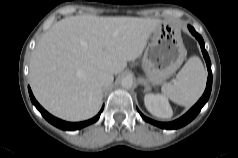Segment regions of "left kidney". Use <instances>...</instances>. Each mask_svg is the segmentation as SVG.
<instances>
[{
  "label": "left kidney",
  "instance_id": "1",
  "mask_svg": "<svg viewBox=\"0 0 238 158\" xmlns=\"http://www.w3.org/2000/svg\"><path fill=\"white\" fill-rule=\"evenodd\" d=\"M144 103L147 110L159 118H170L173 114L167 98L160 94H146Z\"/></svg>",
  "mask_w": 238,
  "mask_h": 158
}]
</instances>
